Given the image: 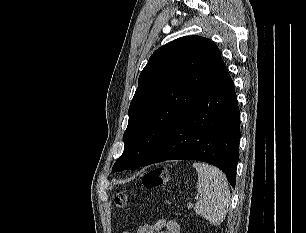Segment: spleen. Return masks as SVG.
Here are the masks:
<instances>
[{"label":"spleen","mask_w":306,"mask_h":233,"mask_svg":"<svg viewBox=\"0 0 306 233\" xmlns=\"http://www.w3.org/2000/svg\"><path fill=\"white\" fill-rule=\"evenodd\" d=\"M193 167L198 173L197 191L201 194L194 210L211 224L218 226L223 222L230 203L226 176L209 164L195 162Z\"/></svg>","instance_id":"3e777b00"}]
</instances>
